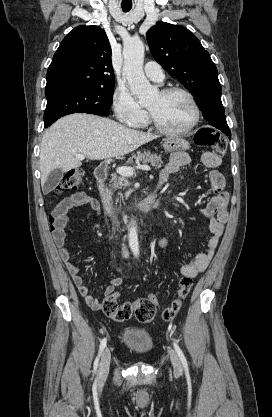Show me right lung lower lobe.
Wrapping results in <instances>:
<instances>
[{
    "mask_svg": "<svg viewBox=\"0 0 272 417\" xmlns=\"http://www.w3.org/2000/svg\"><path fill=\"white\" fill-rule=\"evenodd\" d=\"M45 127H48V126H50V125H44Z\"/></svg>",
    "mask_w": 272,
    "mask_h": 417,
    "instance_id": "obj_1",
    "label": "right lung lower lobe"
}]
</instances>
